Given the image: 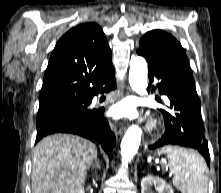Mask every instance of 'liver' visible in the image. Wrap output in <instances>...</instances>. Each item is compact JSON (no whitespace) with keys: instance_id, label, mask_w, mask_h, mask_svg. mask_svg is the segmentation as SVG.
Instances as JSON below:
<instances>
[{"instance_id":"6515ba94","label":"liver","mask_w":221,"mask_h":193,"mask_svg":"<svg viewBox=\"0 0 221 193\" xmlns=\"http://www.w3.org/2000/svg\"><path fill=\"white\" fill-rule=\"evenodd\" d=\"M97 158L96 146L69 134L42 139L32 158V193H76Z\"/></svg>"}]
</instances>
